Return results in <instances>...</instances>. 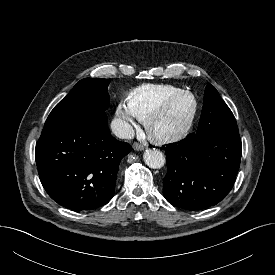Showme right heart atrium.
Returning <instances> with one entry per match:
<instances>
[{"label":"right heart atrium","instance_id":"obj_1","mask_svg":"<svg viewBox=\"0 0 275 275\" xmlns=\"http://www.w3.org/2000/svg\"><path fill=\"white\" fill-rule=\"evenodd\" d=\"M116 116L120 120L119 132L124 135L128 134L136 116L131 112L126 103H120L117 106Z\"/></svg>","mask_w":275,"mask_h":275}]
</instances>
